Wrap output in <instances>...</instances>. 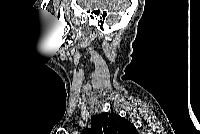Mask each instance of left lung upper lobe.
Here are the masks:
<instances>
[{"label": "left lung upper lobe", "instance_id": "obj_1", "mask_svg": "<svg viewBox=\"0 0 200 134\" xmlns=\"http://www.w3.org/2000/svg\"><path fill=\"white\" fill-rule=\"evenodd\" d=\"M91 124L84 134H137L131 122L114 113L94 115Z\"/></svg>", "mask_w": 200, "mask_h": 134}]
</instances>
